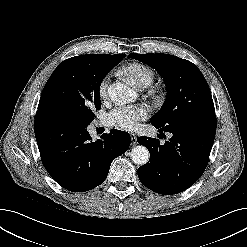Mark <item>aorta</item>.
<instances>
[{
    "mask_svg": "<svg viewBox=\"0 0 247 247\" xmlns=\"http://www.w3.org/2000/svg\"><path fill=\"white\" fill-rule=\"evenodd\" d=\"M108 94L112 101L119 104L133 102L137 94L136 92L121 82H114L108 87ZM131 159L137 165H145L150 158L148 149L145 146L138 145L131 151Z\"/></svg>",
    "mask_w": 247,
    "mask_h": 247,
    "instance_id": "1",
    "label": "aorta"
}]
</instances>
